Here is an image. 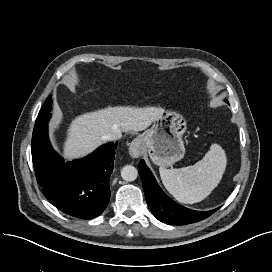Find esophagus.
I'll return each mask as SVG.
<instances>
[{"instance_id":"34e87169","label":"esophagus","mask_w":272,"mask_h":272,"mask_svg":"<svg viewBox=\"0 0 272 272\" xmlns=\"http://www.w3.org/2000/svg\"><path fill=\"white\" fill-rule=\"evenodd\" d=\"M129 154L133 158H138L142 154L143 142L141 138H135L129 146Z\"/></svg>"}]
</instances>
